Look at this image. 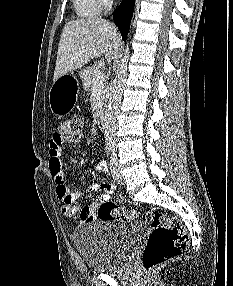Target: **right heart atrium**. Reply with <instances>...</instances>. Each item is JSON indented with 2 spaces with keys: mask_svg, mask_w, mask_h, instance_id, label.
Listing matches in <instances>:
<instances>
[{
  "mask_svg": "<svg viewBox=\"0 0 233 286\" xmlns=\"http://www.w3.org/2000/svg\"><path fill=\"white\" fill-rule=\"evenodd\" d=\"M105 6L109 4L110 0H103Z\"/></svg>",
  "mask_w": 233,
  "mask_h": 286,
  "instance_id": "d8ad5b80",
  "label": "right heart atrium"
}]
</instances>
